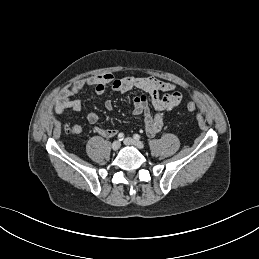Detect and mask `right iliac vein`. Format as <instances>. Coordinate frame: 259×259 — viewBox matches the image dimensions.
Masks as SVG:
<instances>
[{
  "mask_svg": "<svg viewBox=\"0 0 259 259\" xmlns=\"http://www.w3.org/2000/svg\"><path fill=\"white\" fill-rule=\"evenodd\" d=\"M120 146H121L120 141H114L112 144V149L116 151L120 148Z\"/></svg>",
  "mask_w": 259,
  "mask_h": 259,
  "instance_id": "1",
  "label": "right iliac vein"
}]
</instances>
